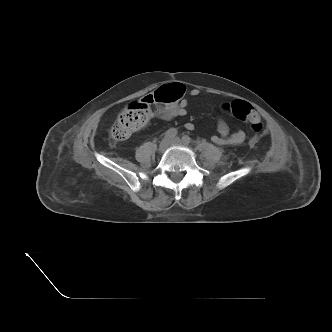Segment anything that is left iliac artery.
<instances>
[{
    "label": "left iliac artery",
    "instance_id": "left-iliac-artery-1",
    "mask_svg": "<svg viewBox=\"0 0 332 332\" xmlns=\"http://www.w3.org/2000/svg\"><path fill=\"white\" fill-rule=\"evenodd\" d=\"M182 141L185 143V144H189L190 142H191V138L189 137V136H187V135H184L183 137H182Z\"/></svg>",
    "mask_w": 332,
    "mask_h": 332
}]
</instances>
